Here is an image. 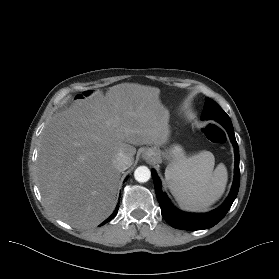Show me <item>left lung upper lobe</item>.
<instances>
[{"label": "left lung upper lobe", "mask_w": 279, "mask_h": 279, "mask_svg": "<svg viewBox=\"0 0 279 279\" xmlns=\"http://www.w3.org/2000/svg\"><path fill=\"white\" fill-rule=\"evenodd\" d=\"M202 118L206 120L230 121L229 116L225 111L213 100L206 98Z\"/></svg>", "instance_id": "obj_1"}]
</instances>
